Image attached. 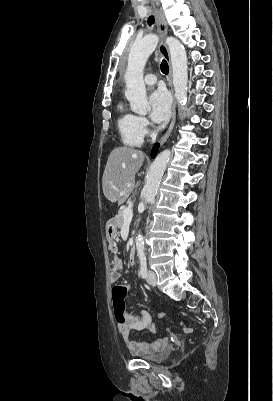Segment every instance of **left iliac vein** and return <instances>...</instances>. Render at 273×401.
I'll list each match as a JSON object with an SVG mask.
<instances>
[{"label": "left iliac vein", "instance_id": "obj_1", "mask_svg": "<svg viewBox=\"0 0 273 401\" xmlns=\"http://www.w3.org/2000/svg\"><path fill=\"white\" fill-rule=\"evenodd\" d=\"M156 274L154 273V271L149 270L148 271V275H147V282L152 285V286H156Z\"/></svg>", "mask_w": 273, "mask_h": 401}]
</instances>
